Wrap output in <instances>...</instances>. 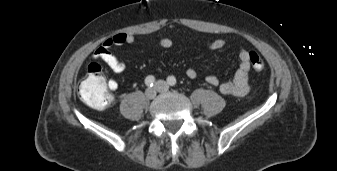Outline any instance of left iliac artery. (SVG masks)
Segmentation results:
<instances>
[{"mask_svg":"<svg viewBox=\"0 0 337 171\" xmlns=\"http://www.w3.org/2000/svg\"><path fill=\"white\" fill-rule=\"evenodd\" d=\"M167 82H168V84L169 85H171V86H175L176 85V78L174 77V76H169L168 78H167Z\"/></svg>","mask_w":337,"mask_h":171,"instance_id":"1","label":"left iliac artery"}]
</instances>
